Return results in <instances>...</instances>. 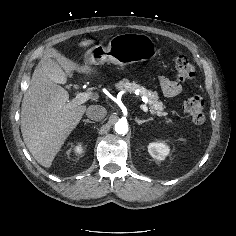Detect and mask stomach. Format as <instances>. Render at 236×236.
I'll list each match as a JSON object with an SVG mask.
<instances>
[{
  "instance_id": "1",
  "label": "stomach",
  "mask_w": 236,
  "mask_h": 236,
  "mask_svg": "<svg viewBox=\"0 0 236 236\" xmlns=\"http://www.w3.org/2000/svg\"><path fill=\"white\" fill-rule=\"evenodd\" d=\"M158 49L153 40L143 33H124L114 36L107 47L97 45L84 55L85 64L102 65L110 62L125 66L153 59Z\"/></svg>"
}]
</instances>
